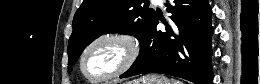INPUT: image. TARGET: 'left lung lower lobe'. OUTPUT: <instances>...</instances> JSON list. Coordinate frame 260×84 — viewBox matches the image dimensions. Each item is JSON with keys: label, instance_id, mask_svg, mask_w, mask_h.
<instances>
[{"label": "left lung lower lobe", "instance_id": "1", "mask_svg": "<svg viewBox=\"0 0 260 84\" xmlns=\"http://www.w3.org/2000/svg\"><path fill=\"white\" fill-rule=\"evenodd\" d=\"M172 14L162 20L166 31H157L158 16L150 27L141 54L120 78L143 73H161L211 84L212 9L208 0H174L165 3Z\"/></svg>", "mask_w": 260, "mask_h": 84}]
</instances>
